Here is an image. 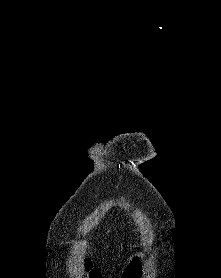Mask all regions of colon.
Instances as JSON below:
<instances>
[{
	"label": "colon",
	"mask_w": 221,
	"mask_h": 278,
	"mask_svg": "<svg viewBox=\"0 0 221 278\" xmlns=\"http://www.w3.org/2000/svg\"><path fill=\"white\" fill-rule=\"evenodd\" d=\"M83 277L84 278H102L101 272L94 268L89 261L83 263Z\"/></svg>",
	"instance_id": "1"
}]
</instances>
